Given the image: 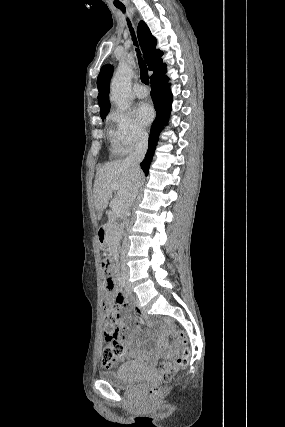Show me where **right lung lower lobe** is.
I'll return each instance as SVG.
<instances>
[{
    "instance_id": "1",
    "label": "right lung lower lobe",
    "mask_w": 285,
    "mask_h": 427,
    "mask_svg": "<svg viewBox=\"0 0 285 427\" xmlns=\"http://www.w3.org/2000/svg\"><path fill=\"white\" fill-rule=\"evenodd\" d=\"M151 97L156 110V118L152 123L148 150L145 159L140 163L145 175H148L150 163L155 151L161 129L167 124L171 111L172 93L169 91L168 77L163 76L151 80Z\"/></svg>"
}]
</instances>
